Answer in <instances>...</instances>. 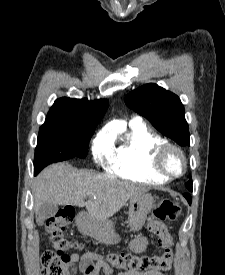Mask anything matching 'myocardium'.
Instances as JSON below:
<instances>
[{"instance_id":"obj_1","label":"myocardium","mask_w":225,"mask_h":275,"mask_svg":"<svg viewBox=\"0 0 225 275\" xmlns=\"http://www.w3.org/2000/svg\"><path fill=\"white\" fill-rule=\"evenodd\" d=\"M171 153H176L182 162V168L178 172H174L168 168L167 159ZM152 166L156 172L166 178H178L182 176L187 169V159L183 150L175 144L165 143L158 147L152 159Z\"/></svg>"}]
</instances>
